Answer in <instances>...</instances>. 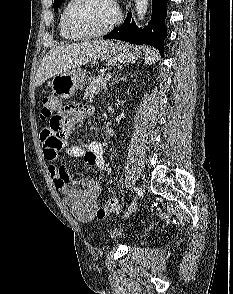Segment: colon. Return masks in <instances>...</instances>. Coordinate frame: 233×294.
<instances>
[{"label": "colon", "mask_w": 233, "mask_h": 294, "mask_svg": "<svg viewBox=\"0 0 233 294\" xmlns=\"http://www.w3.org/2000/svg\"><path fill=\"white\" fill-rule=\"evenodd\" d=\"M63 106L60 105L59 101L53 95H45L42 99V110L41 118L48 120V117H54L52 110H61ZM118 202L112 198L106 201L96 212L99 219L105 218L107 215L114 213L118 210Z\"/></svg>", "instance_id": "obj_1"}]
</instances>
